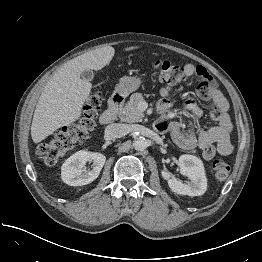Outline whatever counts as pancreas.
<instances>
[{"instance_id": "cf45deb5", "label": "pancreas", "mask_w": 262, "mask_h": 262, "mask_svg": "<svg viewBox=\"0 0 262 262\" xmlns=\"http://www.w3.org/2000/svg\"><path fill=\"white\" fill-rule=\"evenodd\" d=\"M142 101H144V98L141 93L132 94L128 103L118 111L119 118L129 123L142 121L144 114L138 108Z\"/></svg>"}]
</instances>
